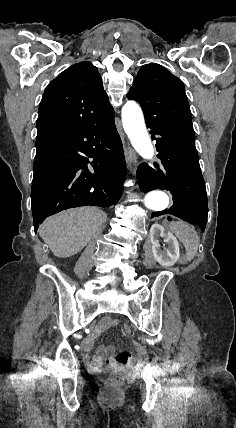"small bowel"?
Listing matches in <instances>:
<instances>
[{
	"label": "small bowel",
	"instance_id": "c3829d8e",
	"mask_svg": "<svg viewBox=\"0 0 236 428\" xmlns=\"http://www.w3.org/2000/svg\"><path fill=\"white\" fill-rule=\"evenodd\" d=\"M117 319L113 317H105L90 333L89 337L84 342L85 351H91L94 346V341L102 332L117 325ZM136 356L132 357L130 353L122 351L115 353L112 346L101 345L97 349L96 355L87 362V366L93 371H99L102 368L103 361L106 360L108 365L117 368L136 369L140 367L146 359L145 347L134 342Z\"/></svg>",
	"mask_w": 236,
	"mask_h": 428
}]
</instances>
